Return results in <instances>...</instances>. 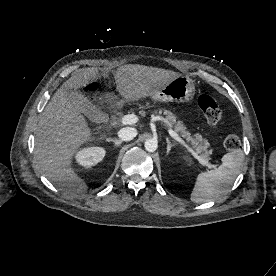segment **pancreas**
Wrapping results in <instances>:
<instances>
[{
	"label": "pancreas",
	"instance_id": "obj_1",
	"mask_svg": "<svg viewBox=\"0 0 276 276\" xmlns=\"http://www.w3.org/2000/svg\"><path fill=\"white\" fill-rule=\"evenodd\" d=\"M163 113L166 115L167 123L172 126L175 132L180 133V135L187 141L190 142L192 147L195 149V153L208 161L210 159V155L212 153L211 150H208L210 147V143L207 139L203 138L202 135L196 133L193 136L186 130V127L183 125L181 121H177L176 116L167 110H159V113Z\"/></svg>",
	"mask_w": 276,
	"mask_h": 276
}]
</instances>
